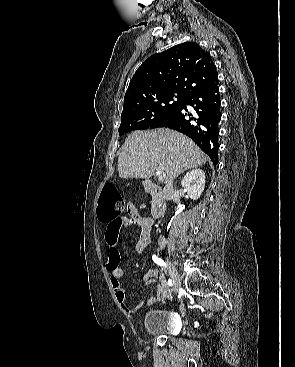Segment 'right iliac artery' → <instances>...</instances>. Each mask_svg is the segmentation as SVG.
<instances>
[{
	"instance_id": "1",
	"label": "right iliac artery",
	"mask_w": 295,
	"mask_h": 367,
	"mask_svg": "<svg viewBox=\"0 0 295 367\" xmlns=\"http://www.w3.org/2000/svg\"><path fill=\"white\" fill-rule=\"evenodd\" d=\"M152 259L159 266H163V267L166 266V263L161 258L157 257L156 255H153L152 256ZM168 285L169 286H172V280L171 279L168 280Z\"/></svg>"
}]
</instances>
